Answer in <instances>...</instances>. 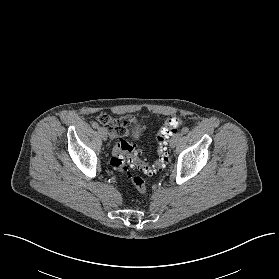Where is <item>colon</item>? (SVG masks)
<instances>
[{
	"mask_svg": "<svg viewBox=\"0 0 279 279\" xmlns=\"http://www.w3.org/2000/svg\"><path fill=\"white\" fill-rule=\"evenodd\" d=\"M183 125L179 117H171L164 121L156 134L157 161L149 164L141 159V154L136 151L135 146L124 140L118 139L113 148L111 166L118 172L125 174L131 179L133 186L141 193L146 192V183L140 177H131L128 166L137 168L147 175H154L160 171L167 160L166 137L168 134L177 131Z\"/></svg>",
	"mask_w": 279,
	"mask_h": 279,
	"instance_id": "colon-1",
	"label": "colon"
}]
</instances>
